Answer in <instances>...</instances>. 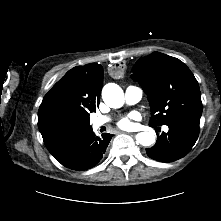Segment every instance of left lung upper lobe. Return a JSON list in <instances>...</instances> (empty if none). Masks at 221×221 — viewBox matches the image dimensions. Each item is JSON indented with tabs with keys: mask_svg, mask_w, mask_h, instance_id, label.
I'll return each instance as SVG.
<instances>
[{
	"mask_svg": "<svg viewBox=\"0 0 221 221\" xmlns=\"http://www.w3.org/2000/svg\"><path fill=\"white\" fill-rule=\"evenodd\" d=\"M131 77L148 95L151 125L160 126L179 117L202 115L198 82L179 59L154 52L136 62Z\"/></svg>",
	"mask_w": 221,
	"mask_h": 221,
	"instance_id": "1",
	"label": "left lung upper lobe"
}]
</instances>
